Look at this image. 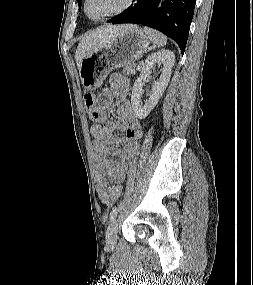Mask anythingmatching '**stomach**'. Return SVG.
Here are the masks:
<instances>
[{
    "instance_id": "0dacf381",
    "label": "stomach",
    "mask_w": 253,
    "mask_h": 285,
    "mask_svg": "<svg viewBox=\"0 0 253 285\" xmlns=\"http://www.w3.org/2000/svg\"><path fill=\"white\" fill-rule=\"evenodd\" d=\"M150 41L148 35L135 26L86 55L79 66V76L84 89L96 90L112 70L126 67L139 60L146 52Z\"/></svg>"
}]
</instances>
